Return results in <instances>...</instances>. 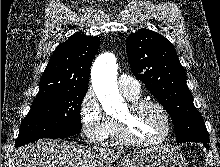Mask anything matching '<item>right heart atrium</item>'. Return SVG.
I'll return each instance as SVG.
<instances>
[{
	"label": "right heart atrium",
	"mask_w": 220,
	"mask_h": 167,
	"mask_svg": "<svg viewBox=\"0 0 220 167\" xmlns=\"http://www.w3.org/2000/svg\"><path fill=\"white\" fill-rule=\"evenodd\" d=\"M79 121L88 142L102 144L109 137L113 120L104 112L92 89H88L80 101Z\"/></svg>",
	"instance_id": "d8ad5b80"
}]
</instances>
